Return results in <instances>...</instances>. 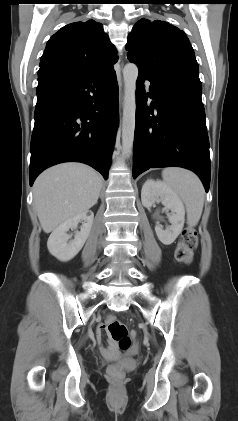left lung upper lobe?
I'll use <instances>...</instances> for the list:
<instances>
[{
  "instance_id": "left-lung-upper-lobe-1",
  "label": "left lung upper lobe",
  "mask_w": 238,
  "mask_h": 421,
  "mask_svg": "<svg viewBox=\"0 0 238 421\" xmlns=\"http://www.w3.org/2000/svg\"><path fill=\"white\" fill-rule=\"evenodd\" d=\"M126 50L139 73L153 79L198 74V63L186 34L165 21L139 20L128 36Z\"/></svg>"
}]
</instances>
